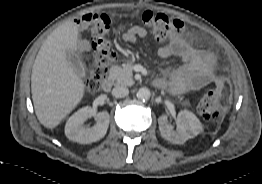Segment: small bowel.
<instances>
[{
    "instance_id": "small-bowel-1",
    "label": "small bowel",
    "mask_w": 262,
    "mask_h": 184,
    "mask_svg": "<svg viewBox=\"0 0 262 184\" xmlns=\"http://www.w3.org/2000/svg\"><path fill=\"white\" fill-rule=\"evenodd\" d=\"M79 24V22H77ZM148 32L141 26H133L122 34L125 42H135L140 38H147ZM89 45L83 40L79 43L80 50H87ZM161 58L177 56L182 65L170 73L169 81L158 80V85H168L174 95H182L191 91L200 90L211 83H219L220 78L215 72V57L210 52H202L183 39H174L158 49Z\"/></svg>"
}]
</instances>
